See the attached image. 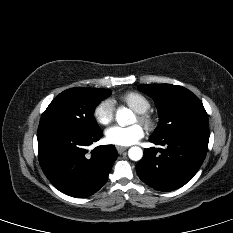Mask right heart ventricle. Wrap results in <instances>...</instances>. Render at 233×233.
<instances>
[{
	"label": "right heart ventricle",
	"mask_w": 233,
	"mask_h": 233,
	"mask_svg": "<svg viewBox=\"0 0 233 233\" xmlns=\"http://www.w3.org/2000/svg\"><path fill=\"white\" fill-rule=\"evenodd\" d=\"M120 99L136 113L146 112L151 107L150 100L139 92H126L121 95Z\"/></svg>",
	"instance_id": "right-heart-ventricle-1"
}]
</instances>
